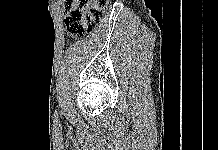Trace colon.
<instances>
[{"label":"colon","instance_id":"5ec220e1","mask_svg":"<svg viewBox=\"0 0 218 150\" xmlns=\"http://www.w3.org/2000/svg\"><path fill=\"white\" fill-rule=\"evenodd\" d=\"M109 2L110 0H65L63 10L68 31L78 37L91 31Z\"/></svg>","mask_w":218,"mask_h":150}]
</instances>
